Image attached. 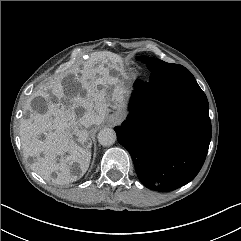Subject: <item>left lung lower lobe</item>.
<instances>
[{"mask_svg":"<svg viewBox=\"0 0 241 241\" xmlns=\"http://www.w3.org/2000/svg\"><path fill=\"white\" fill-rule=\"evenodd\" d=\"M129 110L114 130L140 181L161 192L192 181L211 140L209 104L199 85L172 94L165 76L153 71L149 82L136 80Z\"/></svg>","mask_w":241,"mask_h":241,"instance_id":"1","label":"left lung lower lobe"}]
</instances>
